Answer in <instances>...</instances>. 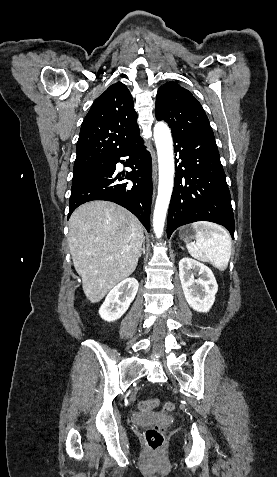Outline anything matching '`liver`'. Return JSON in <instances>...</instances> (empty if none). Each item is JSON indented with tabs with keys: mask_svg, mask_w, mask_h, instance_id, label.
<instances>
[{
	"mask_svg": "<svg viewBox=\"0 0 277 477\" xmlns=\"http://www.w3.org/2000/svg\"><path fill=\"white\" fill-rule=\"evenodd\" d=\"M143 240L140 221L113 202L91 201L73 212L69 220V248L91 303L102 300L134 272Z\"/></svg>",
	"mask_w": 277,
	"mask_h": 477,
	"instance_id": "1",
	"label": "liver"
}]
</instances>
